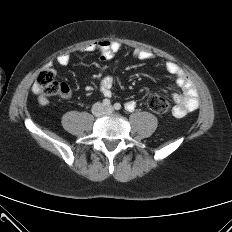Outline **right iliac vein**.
Wrapping results in <instances>:
<instances>
[{"instance_id": "obj_1", "label": "right iliac vein", "mask_w": 232, "mask_h": 232, "mask_svg": "<svg viewBox=\"0 0 232 232\" xmlns=\"http://www.w3.org/2000/svg\"><path fill=\"white\" fill-rule=\"evenodd\" d=\"M103 111V107L101 104H97L95 107H94V114L95 115H98V114H101Z\"/></svg>"}]
</instances>
